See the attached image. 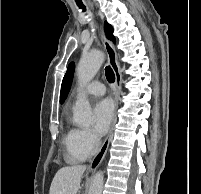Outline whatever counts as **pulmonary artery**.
<instances>
[{
	"mask_svg": "<svg viewBox=\"0 0 201 194\" xmlns=\"http://www.w3.org/2000/svg\"><path fill=\"white\" fill-rule=\"evenodd\" d=\"M105 86L101 82L94 81L88 84L84 90V93L90 96H102L105 94Z\"/></svg>",
	"mask_w": 201,
	"mask_h": 194,
	"instance_id": "1",
	"label": "pulmonary artery"
}]
</instances>
